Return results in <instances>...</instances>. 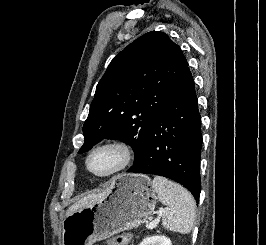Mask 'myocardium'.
<instances>
[{
    "mask_svg": "<svg viewBox=\"0 0 266 245\" xmlns=\"http://www.w3.org/2000/svg\"><path fill=\"white\" fill-rule=\"evenodd\" d=\"M107 146H114V147H117L118 149L121 150L122 162L117 169H115L114 171H112L108 174H96L90 170L89 160H90L91 156L97 150H99L103 147H107ZM133 158H134L133 149L127 142L120 140V139H114V138L113 139H107V140H103V141L97 143L87 152L85 159H84V169H85V172L89 176H91L95 179L107 180V179L114 178V177L120 175L121 173L125 172L130 167V165L133 161Z\"/></svg>",
    "mask_w": 266,
    "mask_h": 245,
    "instance_id": "myocardium-1",
    "label": "myocardium"
}]
</instances>
